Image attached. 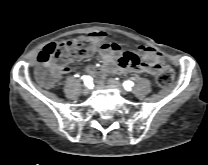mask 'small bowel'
<instances>
[{"mask_svg": "<svg viewBox=\"0 0 208 165\" xmlns=\"http://www.w3.org/2000/svg\"><path fill=\"white\" fill-rule=\"evenodd\" d=\"M89 37L94 41L96 46L95 51L103 60V65L99 69L92 64L86 66L87 71L93 73L95 76L101 77L103 74L115 70L149 75L157 73L160 55L155 49L149 46H141L139 54L131 52L133 57L125 60L124 57L127 52L121 53V46L118 43L106 42L107 33L105 31H94L90 33ZM141 58L146 61H142ZM72 70V68H68L64 70V73H69Z\"/></svg>", "mask_w": 208, "mask_h": 165, "instance_id": "c3829d8e", "label": "small bowel"}]
</instances>
